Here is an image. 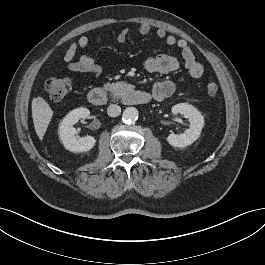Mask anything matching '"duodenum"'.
<instances>
[{"instance_id":"duodenum-1","label":"duodenum","mask_w":265,"mask_h":265,"mask_svg":"<svg viewBox=\"0 0 265 265\" xmlns=\"http://www.w3.org/2000/svg\"><path fill=\"white\" fill-rule=\"evenodd\" d=\"M88 101L94 106H103L108 101L107 93L100 88L91 89L88 93ZM152 99L146 91L140 89H129L123 96V102L128 105H145Z\"/></svg>"}]
</instances>
